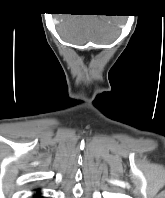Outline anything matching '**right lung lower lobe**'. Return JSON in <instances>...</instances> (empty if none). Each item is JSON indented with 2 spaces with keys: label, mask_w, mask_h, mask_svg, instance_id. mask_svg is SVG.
I'll use <instances>...</instances> for the list:
<instances>
[{
  "label": "right lung lower lobe",
  "mask_w": 165,
  "mask_h": 198,
  "mask_svg": "<svg viewBox=\"0 0 165 198\" xmlns=\"http://www.w3.org/2000/svg\"><path fill=\"white\" fill-rule=\"evenodd\" d=\"M33 198H43V197L40 196V193H37V194L34 195Z\"/></svg>",
  "instance_id": "98d812e1"
}]
</instances>
